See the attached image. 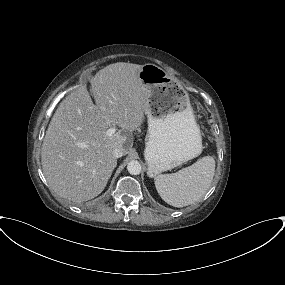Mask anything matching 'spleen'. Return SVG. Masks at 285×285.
Here are the masks:
<instances>
[{
    "label": "spleen",
    "instance_id": "spleen-1",
    "mask_svg": "<svg viewBox=\"0 0 285 285\" xmlns=\"http://www.w3.org/2000/svg\"><path fill=\"white\" fill-rule=\"evenodd\" d=\"M215 160L205 156L176 173L161 174L155 178L160 197L173 207H184L199 201L211 186Z\"/></svg>",
    "mask_w": 285,
    "mask_h": 285
}]
</instances>
